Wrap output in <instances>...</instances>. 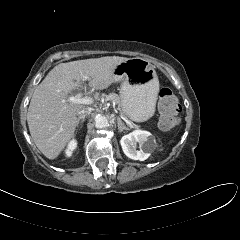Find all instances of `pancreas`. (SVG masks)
<instances>
[{"mask_svg":"<svg viewBox=\"0 0 240 240\" xmlns=\"http://www.w3.org/2000/svg\"><path fill=\"white\" fill-rule=\"evenodd\" d=\"M105 100L111 101L114 104H118V105L120 104V97L115 93H110L109 95H106Z\"/></svg>","mask_w":240,"mask_h":240,"instance_id":"cf45deb5","label":"pancreas"}]
</instances>
